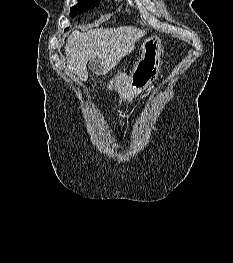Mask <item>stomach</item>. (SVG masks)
<instances>
[{"instance_id": "obj_1", "label": "stomach", "mask_w": 233, "mask_h": 263, "mask_svg": "<svg viewBox=\"0 0 233 263\" xmlns=\"http://www.w3.org/2000/svg\"><path fill=\"white\" fill-rule=\"evenodd\" d=\"M142 56L133 69L132 77H112L105 87L114 91H141L158 76L162 45L156 36L148 37L142 46Z\"/></svg>"}]
</instances>
